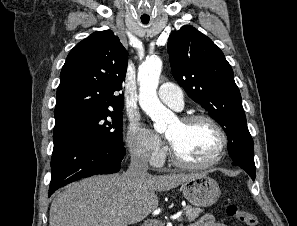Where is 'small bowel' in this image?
Masks as SVG:
<instances>
[{
  "label": "small bowel",
  "instance_id": "1",
  "mask_svg": "<svg viewBox=\"0 0 297 226\" xmlns=\"http://www.w3.org/2000/svg\"><path fill=\"white\" fill-rule=\"evenodd\" d=\"M191 226H228V225L215 222L213 215L206 213L203 216H201Z\"/></svg>",
  "mask_w": 297,
  "mask_h": 226
}]
</instances>
